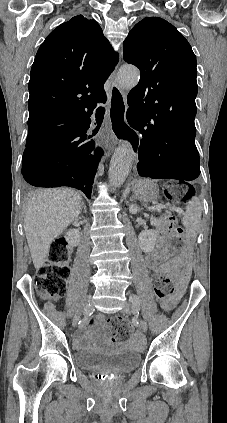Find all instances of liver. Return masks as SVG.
Here are the masks:
<instances>
[{
    "label": "liver",
    "instance_id": "liver-1",
    "mask_svg": "<svg viewBox=\"0 0 227 423\" xmlns=\"http://www.w3.org/2000/svg\"><path fill=\"white\" fill-rule=\"evenodd\" d=\"M82 198L69 188H49L28 194L24 210V231L32 261L40 269L55 237L79 217Z\"/></svg>",
    "mask_w": 227,
    "mask_h": 423
}]
</instances>
